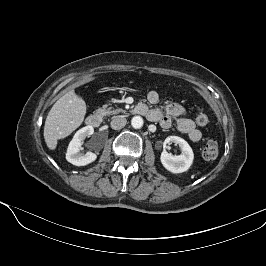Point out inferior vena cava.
<instances>
[{"mask_svg":"<svg viewBox=\"0 0 266 266\" xmlns=\"http://www.w3.org/2000/svg\"><path fill=\"white\" fill-rule=\"evenodd\" d=\"M126 122H127L126 119L122 116L115 117L111 121V128L114 130L122 129L126 125Z\"/></svg>","mask_w":266,"mask_h":266,"instance_id":"inferior-vena-cava-1","label":"inferior vena cava"}]
</instances>
